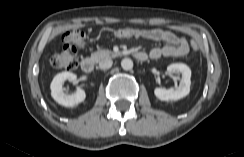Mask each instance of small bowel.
<instances>
[{
    "label": "small bowel",
    "instance_id": "c3829d8e",
    "mask_svg": "<svg viewBox=\"0 0 244 157\" xmlns=\"http://www.w3.org/2000/svg\"><path fill=\"white\" fill-rule=\"evenodd\" d=\"M136 37L166 43L165 46L153 48L149 52V57L151 59L181 57L189 52L187 40L168 30L144 29L140 30Z\"/></svg>",
    "mask_w": 244,
    "mask_h": 157
}]
</instances>
